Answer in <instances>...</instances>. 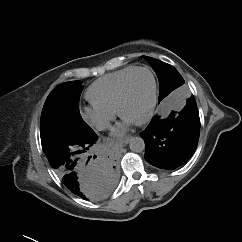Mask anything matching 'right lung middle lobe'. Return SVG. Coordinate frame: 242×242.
<instances>
[{
	"mask_svg": "<svg viewBox=\"0 0 242 242\" xmlns=\"http://www.w3.org/2000/svg\"><path fill=\"white\" fill-rule=\"evenodd\" d=\"M84 86L80 81L58 85L45 101L40 123L42 148H52L92 134L79 112V99Z\"/></svg>",
	"mask_w": 242,
	"mask_h": 242,
	"instance_id": "dd1d6c3e",
	"label": "right lung middle lobe"
}]
</instances>
